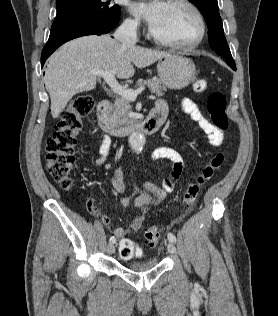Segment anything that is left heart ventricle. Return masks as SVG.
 Instances as JSON below:
<instances>
[{"mask_svg":"<svg viewBox=\"0 0 278 316\" xmlns=\"http://www.w3.org/2000/svg\"><path fill=\"white\" fill-rule=\"evenodd\" d=\"M197 30L196 19L186 7L167 3L162 19L152 32L165 41L187 43L196 37Z\"/></svg>","mask_w":278,"mask_h":316,"instance_id":"left-heart-ventricle-1","label":"left heart ventricle"}]
</instances>
